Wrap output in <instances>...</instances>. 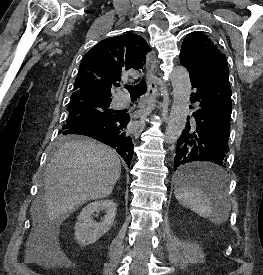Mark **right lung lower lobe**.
<instances>
[{
  "mask_svg": "<svg viewBox=\"0 0 263 275\" xmlns=\"http://www.w3.org/2000/svg\"><path fill=\"white\" fill-rule=\"evenodd\" d=\"M130 121L128 114H116L112 117L80 122L65 130L66 134H77L92 137L112 148L130 165L133 154V143L126 131Z\"/></svg>",
  "mask_w": 263,
  "mask_h": 275,
  "instance_id": "98d812e1",
  "label": "right lung lower lobe"
}]
</instances>
